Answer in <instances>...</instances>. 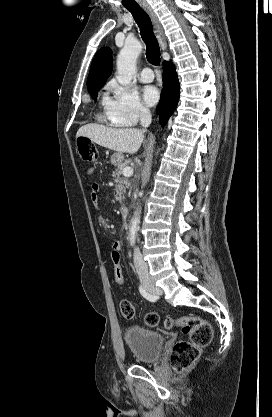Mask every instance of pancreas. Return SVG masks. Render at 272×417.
<instances>
[{
    "mask_svg": "<svg viewBox=\"0 0 272 417\" xmlns=\"http://www.w3.org/2000/svg\"><path fill=\"white\" fill-rule=\"evenodd\" d=\"M129 162H124L118 165L117 169L112 173V177L116 178L115 181L117 183L116 185V195L115 199L117 202L122 203L124 200V193L126 191V188L130 186V181L126 177H121L123 174V169L128 166Z\"/></svg>",
    "mask_w": 272,
    "mask_h": 417,
    "instance_id": "1",
    "label": "pancreas"
}]
</instances>
